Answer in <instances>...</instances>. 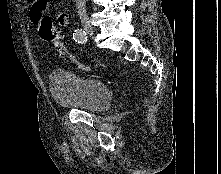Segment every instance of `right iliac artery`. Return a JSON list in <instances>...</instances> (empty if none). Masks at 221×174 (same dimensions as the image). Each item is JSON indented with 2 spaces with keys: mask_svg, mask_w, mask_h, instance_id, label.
Returning a JSON list of instances; mask_svg holds the SVG:
<instances>
[{
  "mask_svg": "<svg viewBox=\"0 0 221 174\" xmlns=\"http://www.w3.org/2000/svg\"><path fill=\"white\" fill-rule=\"evenodd\" d=\"M73 39L78 43H86L87 42V35L86 32L82 29H77L73 33Z\"/></svg>",
  "mask_w": 221,
  "mask_h": 174,
  "instance_id": "right-iliac-artery-1",
  "label": "right iliac artery"
}]
</instances>
